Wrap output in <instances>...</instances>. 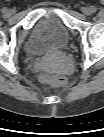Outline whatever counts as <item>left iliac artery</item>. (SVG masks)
<instances>
[{
  "label": "left iliac artery",
  "mask_w": 104,
  "mask_h": 137,
  "mask_svg": "<svg viewBox=\"0 0 104 137\" xmlns=\"http://www.w3.org/2000/svg\"><path fill=\"white\" fill-rule=\"evenodd\" d=\"M90 7H92V13H95L96 12V8H95V6H90Z\"/></svg>",
  "instance_id": "obj_1"
}]
</instances>
